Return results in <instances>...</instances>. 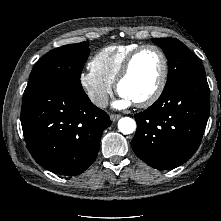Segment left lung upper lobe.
I'll list each match as a JSON object with an SVG mask.
<instances>
[{
	"label": "left lung upper lobe",
	"mask_w": 221,
	"mask_h": 221,
	"mask_svg": "<svg viewBox=\"0 0 221 221\" xmlns=\"http://www.w3.org/2000/svg\"><path fill=\"white\" fill-rule=\"evenodd\" d=\"M152 41L163 49L168 59V79L164 90L189 76L205 74L202 64L181 41L174 38H153Z\"/></svg>",
	"instance_id": "5c2ea615"
}]
</instances>
